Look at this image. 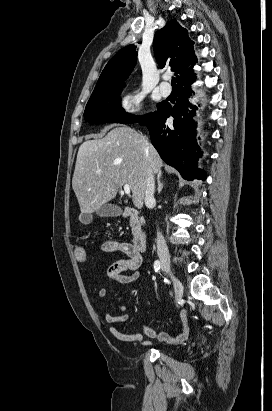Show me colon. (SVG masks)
I'll return each instance as SVG.
<instances>
[{"label": "colon", "instance_id": "obj_1", "mask_svg": "<svg viewBox=\"0 0 272 411\" xmlns=\"http://www.w3.org/2000/svg\"><path fill=\"white\" fill-rule=\"evenodd\" d=\"M74 252H75V257L79 262H86L88 260V254L84 247L77 246Z\"/></svg>", "mask_w": 272, "mask_h": 411}]
</instances>
